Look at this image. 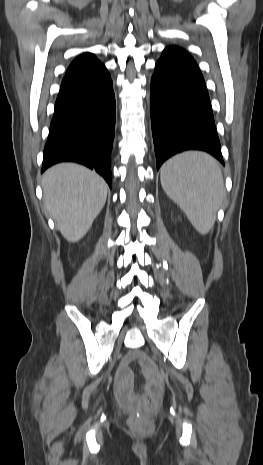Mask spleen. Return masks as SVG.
<instances>
[{"label": "spleen", "mask_w": 263, "mask_h": 465, "mask_svg": "<svg viewBox=\"0 0 263 465\" xmlns=\"http://www.w3.org/2000/svg\"><path fill=\"white\" fill-rule=\"evenodd\" d=\"M161 185L195 229L208 233L225 190L218 162L201 152L176 155L164 163Z\"/></svg>", "instance_id": "1"}]
</instances>
